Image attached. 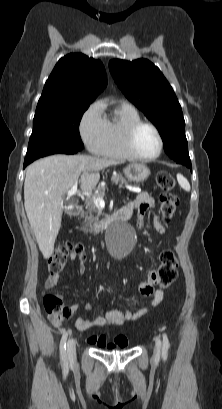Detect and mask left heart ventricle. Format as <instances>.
<instances>
[{
    "mask_svg": "<svg viewBox=\"0 0 222 409\" xmlns=\"http://www.w3.org/2000/svg\"><path fill=\"white\" fill-rule=\"evenodd\" d=\"M136 150L143 156H152L157 153L159 141L156 133L150 127H142L135 137Z\"/></svg>",
    "mask_w": 222,
    "mask_h": 409,
    "instance_id": "1",
    "label": "left heart ventricle"
}]
</instances>
